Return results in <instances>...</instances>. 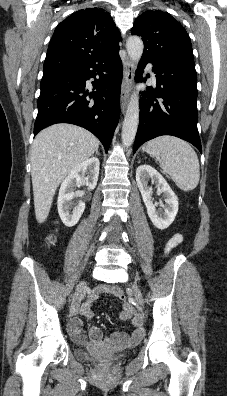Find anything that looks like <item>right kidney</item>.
I'll return each instance as SVG.
<instances>
[{"mask_svg": "<svg viewBox=\"0 0 227 396\" xmlns=\"http://www.w3.org/2000/svg\"><path fill=\"white\" fill-rule=\"evenodd\" d=\"M99 165L98 158H89L76 166L63 180L59 190L57 208L65 226L72 227L79 221L85 210V203L79 201L77 205H73V199L79 195V192L75 190L78 186L84 184L89 190L96 187Z\"/></svg>", "mask_w": 227, "mask_h": 396, "instance_id": "ca27d5eb", "label": "right kidney"}]
</instances>
